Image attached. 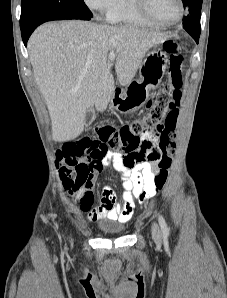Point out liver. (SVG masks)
Listing matches in <instances>:
<instances>
[{
	"label": "liver",
	"instance_id": "1",
	"mask_svg": "<svg viewBox=\"0 0 227 298\" xmlns=\"http://www.w3.org/2000/svg\"><path fill=\"white\" fill-rule=\"evenodd\" d=\"M169 37L81 20L39 26L28 41V51L35 82L51 117L53 140L77 138L84 130L87 110L95 106L103 112L107 108L115 90L109 51L116 54L118 82L126 86L147 51Z\"/></svg>",
	"mask_w": 227,
	"mask_h": 298
}]
</instances>
